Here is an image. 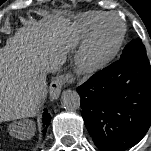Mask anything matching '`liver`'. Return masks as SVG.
Listing matches in <instances>:
<instances>
[{"instance_id": "6515ba94", "label": "liver", "mask_w": 151, "mask_h": 151, "mask_svg": "<svg viewBox=\"0 0 151 151\" xmlns=\"http://www.w3.org/2000/svg\"><path fill=\"white\" fill-rule=\"evenodd\" d=\"M58 17L19 28L0 48V122L34 115L46 92V65L63 64L78 31ZM32 127L27 138L34 136Z\"/></svg>"}]
</instances>
